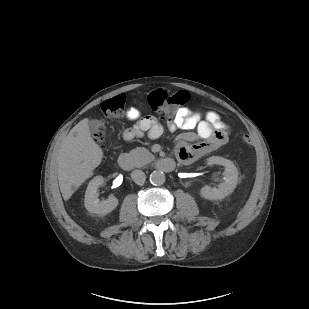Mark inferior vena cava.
<instances>
[{"instance_id": "inferior-vena-cava-1", "label": "inferior vena cava", "mask_w": 309, "mask_h": 309, "mask_svg": "<svg viewBox=\"0 0 309 309\" xmlns=\"http://www.w3.org/2000/svg\"><path fill=\"white\" fill-rule=\"evenodd\" d=\"M131 178L138 185H143L146 180V175L141 170H134L131 172Z\"/></svg>"}]
</instances>
